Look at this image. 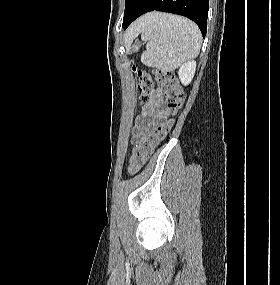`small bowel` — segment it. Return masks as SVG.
Returning a JSON list of instances; mask_svg holds the SVG:
<instances>
[{
    "instance_id": "c3829d8e",
    "label": "small bowel",
    "mask_w": 280,
    "mask_h": 285,
    "mask_svg": "<svg viewBox=\"0 0 280 285\" xmlns=\"http://www.w3.org/2000/svg\"><path fill=\"white\" fill-rule=\"evenodd\" d=\"M166 114L162 95L157 92L150 101L142 107L140 116L134 127L133 140L137 141L152 125Z\"/></svg>"
}]
</instances>
